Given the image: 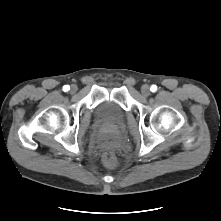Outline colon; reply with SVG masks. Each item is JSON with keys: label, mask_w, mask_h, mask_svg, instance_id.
<instances>
[{"label": "colon", "mask_w": 221, "mask_h": 221, "mask_svg": "<svg viewBox=\"0 0 221 221\" xmlns=\"http://www.w3.org/2000/svg\"><path fill=\"white\" fill-rule=\"evenodd\" d=\"M103 161L109 167L117 166L115 152L112 148L108 147L103 151Z\"/></svg>", "instance_id": "colon-1"}]
</instances>
